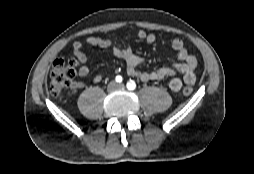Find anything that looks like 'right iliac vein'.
Instances as JSON below:
<instances>
[{
	"instance_id": "right-iliac-vein-1",
	"label": "right iliac vein",
	"mask_w": 254,
	"mask_h": 174,
	"mask_svg": "<svg viewBox=\"0 0 254 174\" xmlns=\"http://www.w3.org/2000/svg\"><path fill=\"white\" fill-rule=\"evenodd\" d=\"M114 87H115L114 83H111L110 86H109L110 89H113Z\"/></svg>"
}]
</instances>
